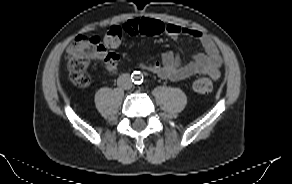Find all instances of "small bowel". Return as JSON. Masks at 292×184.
I'll return each instance as SVG.
<instances>
[{
	"label": "small bowel",
	"instance_id": "small-bowel-1",
	"mask_svg": "<svg viewBox=\"0 0 292 184\" xmlns=\"http://www.w3.org/2000/svg\"><path fill=\"white\" fill-rule=\"evenodd\" d=\"M146 19L147 18H135L127 20L121 26L123 33L129 36L142 34L141 27ZM159 22L163 26L162 33L173 39H177L180 35L192 37L200 43L202 51L194 54L192 60L188 63H183L179 56L168 51L162 54L161 61L151 64H142L144 69L156 74L162 79L171 81L183 80L196 74L208 75L213 79H217L220 76V67L223 62L222 57L215 42L209 35L194 28L180 26L174 23ZM94 59L102 61L109 73H116L119 61L118 54L103 51L98 53Z\"/></svg>",
	"mask_w": 292,
	"mask_h": 184
}]
</instances>
